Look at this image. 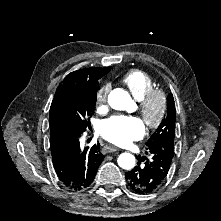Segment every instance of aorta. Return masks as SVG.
<instances>
[{
    "label": "aorta",
    "instance_id": "762f6f07",
    "mask_svg": "<svg viewBox=\"0 0 221 221\" xmlns=\"http://www.w3.org/2000/svg\"><path fill=\"white\" fill-rule=\"evenodd\" d=\"M108 103L115 110H129L134 105L129 93L120 88L114 89L110 92ZM135 161V157L130 153H122L117 159L118 165L127 170L134 168Z\"/></svg>",
    "mask_w": 221,
    "mask_h": 221
}]
</instances>
